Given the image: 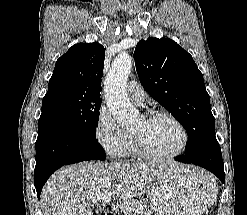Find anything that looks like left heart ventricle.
Instances as JSON below:
<instances>
[{
  "mask_svg": "<svg viewBox=\"0 0 247 215\" xmlns=\"http://www.w3.org/2000/svg\"><path fill=\"white\" fill-rule=\"evenodd\" d=\"M132 132L140 135L147 147L157 154H170L177 151L182 141L179 128L167 118H159L150 122L142 119Z\"/></svg>",
  "mask_w": 247,
  "mask_h": 215,
  "instance_id": "1",
  "label": "left heart ventricle"
}]
</instances>
